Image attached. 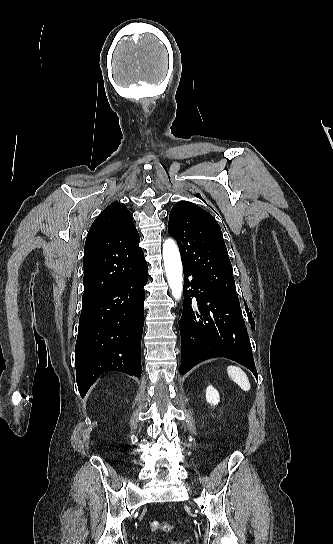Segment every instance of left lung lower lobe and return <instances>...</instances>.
<instances>
[{"label": "left lung lower lobe", "mask_w": 333, "mask_h": 544, "mask_svg": "<svg viewBox=\"0 0 333 544\" xmlns=\"http://www.w3.org/2000/svg\"><path fill=\"white\" fill-rule=\"evenodd\" d=\"M183 272L184 304L179 322L182 343L180 374L206 359L225 357L247 367L257 378L240 306L226 300L188 267L183 266ZM188 276L193 277L191 282ZM250 324L253 329L252 321Z\"/></svg>", "instance_id": "left-lung-lower-lobe-1"}]
</instances>
